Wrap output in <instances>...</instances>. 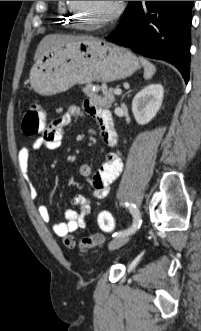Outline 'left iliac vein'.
Listing matches in <instances>:
<instances>
[{
    "instance_id": "4c4485c4",
    "label": "left iliac vein",
    "mask_w": 201,
    "mask_h": 331,
    "mask_svg": "<svg viewBox=\"0 0 201 331\" xmlns=\"http://www.w3.org/2000/svg\"><path fill=\"white\" fill-rule=\"evenodd\" d=\"M130 239V235L119 236L115 237L110 243L108 244V248L110 250H115L120 248L121 246L125 245Z\"/></svg>"
}]
</instances>
